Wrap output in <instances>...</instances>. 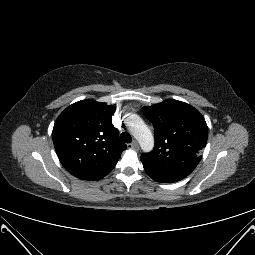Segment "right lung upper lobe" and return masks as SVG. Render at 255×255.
<instances>
[{
  "instance_id": "right-lung-upper-lobe-1",
  "label": "right lung upper lobe",
  "mask_w": 255,
  "mask_h": 255,
  "mask_svg": "<svg viewBox=\"0 0 255 255\" xmlns=\"http://www.w3.org/2000/svg\"><path fill=\"white\" fill-rule=\"evenodd\" d=\"M114 112L115 107L88 99L70 105L57 118L52 132L56 153L75 177H105L126 149L112 124Z\"/></svg>"
}]
</instances>
